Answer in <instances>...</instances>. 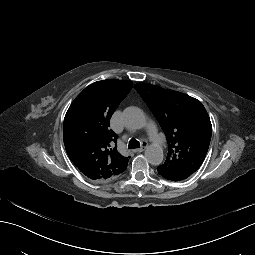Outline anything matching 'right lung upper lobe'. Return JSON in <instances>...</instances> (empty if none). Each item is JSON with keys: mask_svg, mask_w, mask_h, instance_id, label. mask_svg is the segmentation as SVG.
<instances>
[{"mask_svg": "<svg viewBox=\"0 0 255 255\" xmlns=\"http://www.w3.org/2000/svg\"><path fill=\"white\" fill-rule=\"evenodd\" d=\"M132 85L126 80L92 83L75 98L65 115L66 152L90 180L109 181L127 168L129 159L117 151V135L109 128V122Z\"/></svg>", "mask_w": 255, "mask_h": 255, "instance_id": "right-lung-upper-lobe-1", "label": "right lung upper lobe"}]
</instances>
